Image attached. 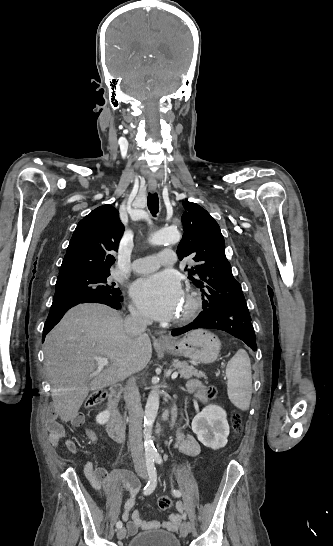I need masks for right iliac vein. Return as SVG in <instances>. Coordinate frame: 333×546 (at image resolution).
<instances>
[{"label": "right iliac vein", "mask_w": 333, "mask_h": 546, "mask_svg": "<svg viewBox=\"0 0 333 546\" xmlns=\"http://www.w3.org/2000/svg\"><path fill=\"white\" fill-rule=\"evenodd\" d=\"M140 475H141L142 477H144V474H143V473H140ZM125 536H126V528H125V527H122V528H120V529L117 531V537H118V539L122 540V539L125 538Z\"/></svg>", "instance_id": "1"}]
</instances>
